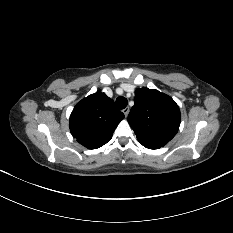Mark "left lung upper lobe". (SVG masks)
I'll return each mask as SVG.
<instances>
[{
    "instance_id": "5c2ea615",
    "label": "left lung upper lobe",
    "mask_w": 233,
    "mask_h": 233,
    "mask_svg": "<svg viewBox=\"0 0 233 233\" xmlns=\"http://www.w3.org/2000/svg\"><path fill=\"white\" fill-rule=\"evenodd\" d=\"M180 122L179 107L170 96L145 87L135 91L128 123L144 147L166 145L178 132Z\"/></svg>"
}]
</instances>
